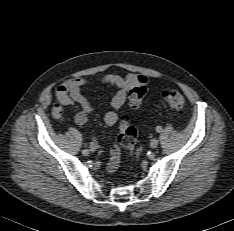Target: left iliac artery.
<instances>
[{
	"instance_id": "obj_1",
	"label": "left iliac artery",
	"mask_w": 234,
	"mask_h": 231,
	"mask_svg": "<svg viewBox=\"0 0 234 231\" xmlns=\"http://www.w3.org/2000/svg\"><path fill=\"white\" fill-rule=\"evenodd\" d=\"M162 131V127L161 126H157L156 127V132L160 133Z\"/></svg>"
}]
</instances>
